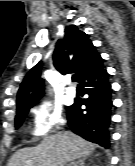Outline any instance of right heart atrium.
Listing matches in <instances>:
<instances>
[{
    "label": "right heart atrium",
    "mask_w": 135,
    "mask_h": 166,
    "mask_svg": "<svg viewBox=\"0 0 135 166\" xmlns=\"http://www.w3.org/2000/svg\"><path fill=\"white\" fill-rule=\"evenodd\" d=\"M32 133L37 138L49 135L64 123L63 110L49 101L34 106Z\"/></svg>",
    "instance_id": "obj_1"
}]
</instances>
